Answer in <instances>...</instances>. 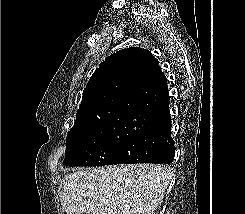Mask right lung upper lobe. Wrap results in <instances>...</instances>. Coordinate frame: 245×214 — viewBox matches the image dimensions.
<instances>
[{
	"instance_id": "right-lung-upper-lobe-1",
	"label": "right lung upper lobe",
	"mask_w": 245,
	"mask_h": 214,
	"mask_svg": "<svg viewBox=\"0 0 245 214\" xmlns=\"http://www.w3.org/2000/svg\"><path fill=\"white\" fill-rule=\"evenodd\" d=\"M166 84L158 60L146 49L130 47L108 56L83 91L70 133L130 127L140 113L139 98Z\"/></svg>"
}]
</instances>
